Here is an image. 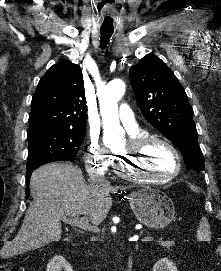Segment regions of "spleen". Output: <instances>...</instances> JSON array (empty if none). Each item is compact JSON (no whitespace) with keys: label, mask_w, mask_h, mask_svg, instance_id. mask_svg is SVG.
Instances as JSON below:
<instances>
[{"label":"spleen","mask_w":221,"mask_h":271,"mask_svg":"<svg viewBox=\"0 0 221 271\" xmlns=\"http://www.w3.org/2000/svg\"><path fill=\"white\" fill-rule=\"evenodd\" d=\"M210 225L206 217H201L199 227L197 229V239L198 241H210Z\"/></svg>","instance_id":"spleen-1"}]
</instances>
